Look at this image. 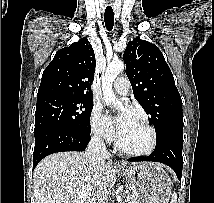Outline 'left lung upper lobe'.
<instances>
[{"mask_svg":"<svg viewBox=\"0 0 214 203\" xmlns=\"http://www.w3.org/2000/svg\"><path fill=\"white\" fill-rule=\"evenodd\" d=\"M123 58L134 96L149 114L156 139L170 129L183 128L181 96L159 48L137 37L128 43Z\"/></svg>","mask_w":214,"mask_h":203,"instance_id":"left-lung-upper-lobe-1","label":"left lung upper lobe"}]
</instances>
